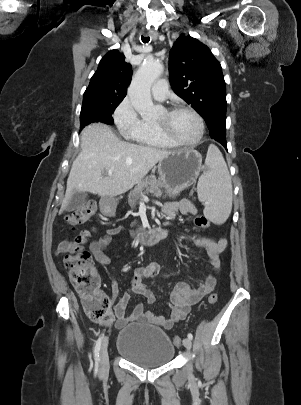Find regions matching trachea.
I'll list each match as a JSON object with an SVG mask.
<instances>
[{"label": "trachea", "mask_w": 301, "mask_h": 405, "mask_svg": "<svg viewBox=\"0 0 301 405\" xmlns=\"http://www.w3.org/2000/svg\"><path fill=\"white\" fill-rule=\"evenodd\" d=\"M141 40H142L143 43H148L149 40H150V38H149V37H144V36H142V37H141Z\"/></svg>", "instance_id": "1"}]
</instances>
